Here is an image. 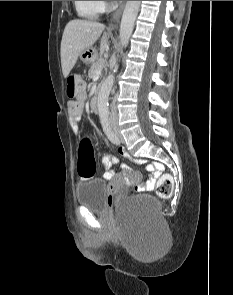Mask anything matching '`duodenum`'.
<instances>
[{
	"label": "duodenum",
	"instance_id": "duodenum-1",
	"mask_svg": "<svg viewBox=\"0 0 233 295\" xmlns=\"http://www.w3.org/2000/svg\"><path fill=\"white\" fill-rule=\"evenodd\" d=\"M99 97L100 94L97 93L91 100V108L95 111L98 112L99 111Z\"/></svg>",
	"mask_w": 233,
	"mask_h": 295
}]
</instances>
